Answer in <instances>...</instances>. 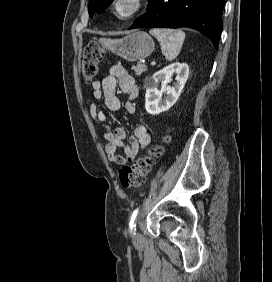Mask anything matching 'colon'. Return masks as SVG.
<instances>
[{"instance_id": "obj_1", "label": "colon", "mask_w": 272, "mask_h": 282, "mask_svg": "<svg viewBox=\"0 0 272 282\" xmlns=\"http://www.w3.org/2000/svg\"><path fill=\"white\" fill-rule=\"evenodd\" d=\"M106 59L104 45L98 40H91L84 49L82 57V74L86 82L94 81L98 74L99 64ZM170 140L166 134L160 144L150 148L148 153L139 158L133 165L122 167L119 170V178L124 188H137L144 184L156 160L163 152V144Z\"/></svg>"}]
</instances>
